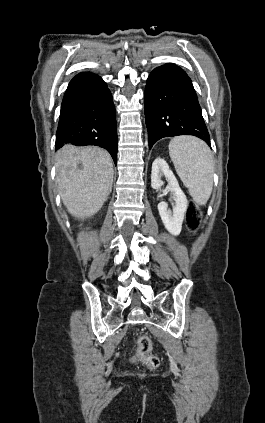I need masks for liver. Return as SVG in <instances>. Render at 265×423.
Returning <instances> with one entry per match:
<instances>
[{
  "label": "liver",
  "instance_id": "liver-1",
  "mask_svg": "<svg viewBox=\"0 0 265 423\" xmlns=\"http://www.w3.org/2000/svg\"><path fill=\"white\" fill-rule=\"evenodd\" d=\"M56 171L63 203L76 218L95 215L112 190L113 161L102 148L67 144L56 154Z\"/></svg>",
  "mask_w": 265,
  "mask_h": 423
}]
</instances>
